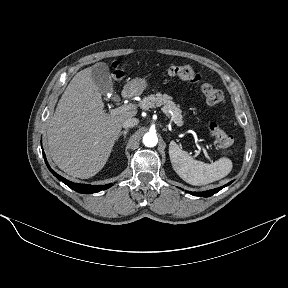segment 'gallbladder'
<instances>
[{
    "mask_svg": "<svg viewBox=\"0 0 288 288\" xmlns=\"http://www.w3.org/2000/svg\"><path fill=\"white\" fill-rule=\"evenodd\" d=\"M92 79L99 89L113 91L109 67L105 63H98L92 67Z\"/></svg>",
    "mask_w": 288,
    "mask_h": 288,
    "instance_id": "obj_1",
    "label": "gallbladder"
}]
</instances>
